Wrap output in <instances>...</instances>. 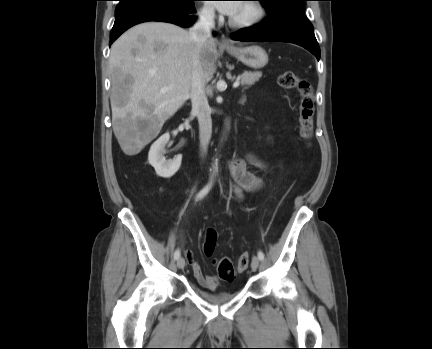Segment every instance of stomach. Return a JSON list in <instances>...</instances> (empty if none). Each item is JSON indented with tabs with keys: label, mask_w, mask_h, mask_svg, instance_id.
Masks as SVG:
<instances>
[{
	"label": "stomach",
	"mask_w": 432,
	"mask_h": 349,
	"mask_svg": "<svg viewBox=\"0 0 432 349\" xmlns=\"http://www.w3.org/2000/svg\"><path fill=\"white\" fill-rule=\"evenodd\" d=\"M227 52L241 61L244 65L260 69L268 63V55L266 51L257 45H252L243 48H227Z\"/></svg>",
	"instance_id": "0dacf381"
}]
</instances>
